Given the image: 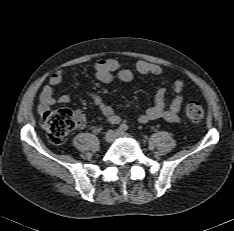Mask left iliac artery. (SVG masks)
Segmentation results:
<instances>
[{
  "instance_id": "left-iliac-artery-1",
  "label": "left iliac artery",
  "mask_w": 234,
  "mask_h": 231,
  "mask_svg": "<svg viewBox=\"0 0 234 231\" xmlns=\"http://www.w3.org/2000/svg\"><path fill=\"white\" fill-rule=\"evenodd\" d=\"M129 129V127H128V125H126V124H121L120 126H119V130H121V131H127Z\"/></svg>"
}]
</instances>
